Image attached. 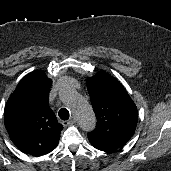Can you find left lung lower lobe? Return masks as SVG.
<instances>
[{"label":"left lung lower lobe","mask_w":171,"mask_h":171,"mask_svg":"<svg viewBox=\"0 0 171 171\" xmlns=\"http://www.w3.org/2000/svg\"><path fill=\"white\" fill-rule=\"evenodd\" d=\"M90 142H91V144H92L96 149H99V150H101V151H105V152L114 151V150H112V149H110V148H108V147L98 145V144H96V143H94V142H92V141H90Z\"/></svg>","instance_id":"1"}]
</instances>
